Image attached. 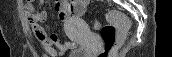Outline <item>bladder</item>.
<instances>
[{
    "instance_id": "1",
    "label": "bladder",
    "mask_w": 172,
    "mask_h": 57,
    "mask_svg": "<svg viewBox=\"0 0 172 57\" xmlns=\"http://www.w3.org/2000/svg\"><path fill=\"white\" fill-rule=\"evenodd\" d=\"M70 57H84V56H83V55L77 54V55H72V56H70Z\"/></svg>"
}]
</instances>
